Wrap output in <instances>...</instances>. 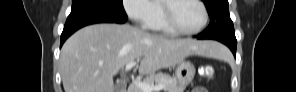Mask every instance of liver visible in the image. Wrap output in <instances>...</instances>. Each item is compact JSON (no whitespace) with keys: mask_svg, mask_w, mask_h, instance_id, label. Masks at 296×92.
<instances>
[{"mask_svg":"<svg viewBox=\"0 0 296 92\" xmlns=\"http://www.w3.org/2000/svg\"><path fill=\"white\" fill-rule=\"evenodd\" d=\"M213 41L172 40L129 24H95L74 33L64 43L60 68L65 92H114L113 77L127 63L141 60L140 75H154L186 57H214Z\"/></svg>","mask_w":296,"mask_h":92,"instance_id":"obj_1","label":"liver"}]
</instances>
